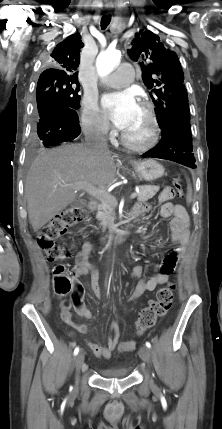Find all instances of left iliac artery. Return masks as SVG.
<instances>
[{"label": "left iliac artery", "mask_w": 222, "mask_h": 429, "mask_svg": "<svg viewBox=\"0 0 222 429\" xmlns=\"http://www.w3.org/2000/svg\"><path fill=\"white\" fill-rule=\"evenodd\" d=\"M145 345H146L148 348H151V344H150V342H146V343H145Z\"/></svg>", "instance_id": "1"}]
</instances>
